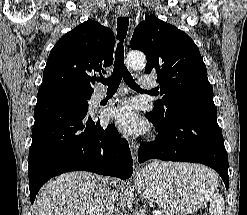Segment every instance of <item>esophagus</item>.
Here are the masks:
<instances>
[{"label":"esophagus","mask_w":247,"mask_h":215,"mask_svg":"<svg viewBox=\"0 0 247 215\" xmlns=\"http://www.w3.org/2000/svg\"><path fill=\"white\" fill-rule=\"evenodd\" d=\"M118 14L120 16H127L129 14V11L127 8H121L118 10ZM138 143L133 141V140H130V149H131V153H132V158H133V161L136 162V159H137V150H138Z\"/></svg>","instance_id":"esophagus-1"}]
</instances>
